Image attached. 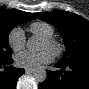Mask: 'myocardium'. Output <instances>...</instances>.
I'll return each mask as SVG.
<instances>
[{"mask_svg": "<svg viewBox=\"0 0 89 89\" xmlns=\"http://www.w3.org/2000/svg\"><path fill=\"white\" fill-rule=\"evenodd\" d=\"M44 41L52 49V52L55 56L60 57L64 53L65 46L59 40H56L54 38H44Z\"/></svg>", "mask_w": 89, "mask_h": 89, "instance_id": "myocardium-1", "label": "myocardium"}]
</instances>
